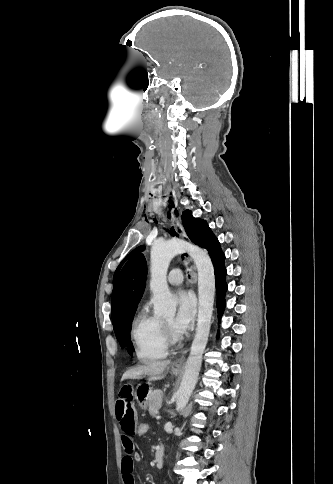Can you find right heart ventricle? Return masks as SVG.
<instances>
[{
	"label": "right heart ventricle",
	"instance_id": "obj_1",
	"mask_svg": "<svg viewBox=\"0 0 333 484\" xmlns=\"http://www.w3.org/2000/svg\"><path fill=\"white\" fill-rule=\"evenodd\" d=\"M132 338L136 356L142 362H152L166 357L168 343L162 319L143 306L132 323Z\"/></svg>",
	"mask_w": 333,
	"mask_h": 484
}]
</instances>
